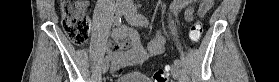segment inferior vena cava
Instances as JSON below:
<instances>
[{
    "label": "inferior vena cava",
    "mask_w": 279,
    "mask_h": 82,
    "mask_svg": "<svg viewBox=\"0 0 279 82\" xmlns=\"http://www.w3.org/2000/svg\"><path fill=\"white\" fill-rule=\"evenodd\" d=\"M118 2L124 4L127 8V11L126 12H130L131 11V7L129 6V1L128 0H118Z\"/></svg>",
    "instance_id": "obj_1"
}]
</instances>
